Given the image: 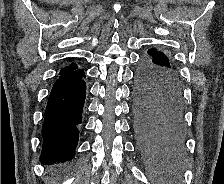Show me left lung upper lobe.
<instances>
[{
	"mask_svg": "<svg viewBox=\"0 0 224 184\" xmlns=\"http://www.w3.org/2000/svg\"><path fill=\"white\" fill-rule=\"evenodd\" d=\"M153 50V49H152ZM157 55H159L160 57H162L163 59L167 60L169 63H170V66H169V70L174 73V74H178V71H177V68L176 66L174 65L173 61L171 60V57L168 53L166 52H163V51H156V50H153Z\"/></svg>",
	"mask_w": 224,
	"mask_h": 184,
	"instance_id": "obj_1",
	"label": "left lung upper lobe"
}]
</instances>
